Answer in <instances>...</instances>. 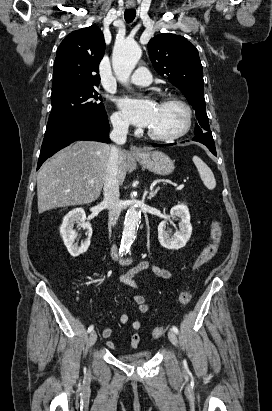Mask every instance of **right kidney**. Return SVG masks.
Returning <instances> with one entry per match:
<instances>
[{
  "mask_svg": "<svg viewBox=\"0 0 272 411\" xmlns=\"http://www.w3.org/2000/svg\"><path fill=\"white\" fill-rule=\"evenodd\" d=\"M75 223L78 224V227H82L87 230L86 234L88 237L80 246L75 244V239L77 236L75 230L73 229ZM60 234L69 254L72 257H77L88 250L92 236V227L90 223L86 222V214L84 209L75 208L63 218L62 225L60 227Z\"/></svg>",
  "mask_w": 272,
  "mask_h": 411,
  "instance_id": "right-kidney-1",
  "label": "right kidney"
}]
</instances>
